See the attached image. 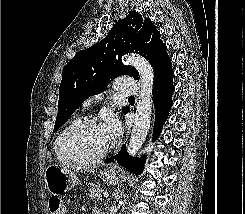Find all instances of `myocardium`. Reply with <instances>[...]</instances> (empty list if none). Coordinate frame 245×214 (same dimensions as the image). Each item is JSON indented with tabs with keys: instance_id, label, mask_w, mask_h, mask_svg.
I'll use <instances>...</instances> for the list:
<instances>
[{
	"instance_id": "f54148a6",
	"label": "myocardium",
	"mask_w": 245,
	"mask_h": 214,
	"mask_svg": "<svg viewBox=\"0 0 245 214\" xmlns=\"http://www.w3.org/2000/svg\"><path fill=\"white\" fill-rule=\"evenodd\" d=\"M87 126H99L96 121L92 119H81L76 122L73 126H71L66 133L63 135L60 142V151L62 155L72 163L86 165V164H95L106 158V156L110 153L111 148L109 147L101 154L94 157H85L78 155L71 148V141L75 134L81 129Z\"/></svg>"
}]
</instances>
